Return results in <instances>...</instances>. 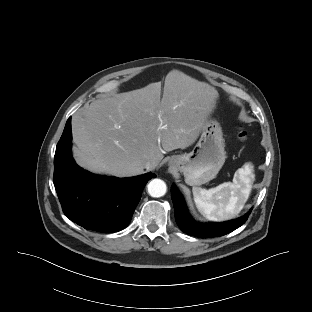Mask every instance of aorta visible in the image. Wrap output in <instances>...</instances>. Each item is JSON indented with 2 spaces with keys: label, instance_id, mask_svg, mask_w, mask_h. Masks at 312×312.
Segmentation results:
<instances>
[{
  "label": "aorta",
  "instance_id": "aorta-1",
  "mask_svg": "<svg viewBox=\"0 0 312 312\" xmlns=\"http://www.w3.org/2000/svg\"><path fill=\"white\" fill-rule=\"evenodd\" d=\"M147 188L149 195L157 198L165 195L167 190L165 182L161 179H154L150 181Z\"/></svg>",
  "mask_w": 312,
  "mask_h": 312
}]
</instances>
